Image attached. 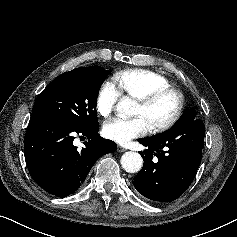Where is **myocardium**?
Here are the masks:
<instances>
[{
    "label": "myocardium",
    "mask_w": 237,
    "mask_h": 237,
    "mask_svg": "<svg viewBox=\"0 0 237 237\" xmlns=\"http://www.w3.org/2000/svg\"><path fill=\"white\" fill-rule=\"evenodd\" d=\"M174 96L176 99V107L174 112L166 120L153 124L149 127L153 133H161L171 128L181 117L185 105L184 95L181 91L175 88H160L148 94H145L137 99L142 105L149 107L155 104L158 100L165 96Z\"/></svg>",
    "instance_id": "f54148a6"
}]
</instances>
